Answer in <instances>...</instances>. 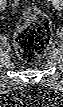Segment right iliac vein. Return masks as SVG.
Here are the masks:
<instances>
[{
    "mask_svg": "<svg viewBox=\"0 0 63 107\" xmlns=\"http://www.w3.org/2000/svg\"><path fill=\"white\" fill-rule=\"evenodd\" d=\"M6 4H7L6 1L2 0V2L0 3V9H1V11H3L5 9Z\"/></svg>",
    "mask_w": 63,
    "mask_h": 107,
    "instance_id": "obj_1",
    "label": "right iliac vein"
}]
</instances>
